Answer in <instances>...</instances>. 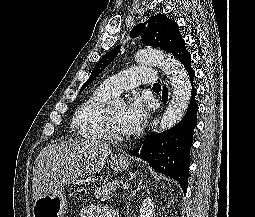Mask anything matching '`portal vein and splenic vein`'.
<instances>
[{
  "mask_svg": "<svg viewBox=\"0 0 255 217\" xmlns=\"http://www.w3.org/2000/svg\"><path fill=\"white\" fill-rule=\"evenodd\" d=\"M128 188V185L127 184H124L123 185V189H127Z\"/></svg>",
  "mask_w": 255,
  "mask_h": 217,
  "instance_id": "1",
  "label": "portal vein and splenic vein"
}]
</instances>
